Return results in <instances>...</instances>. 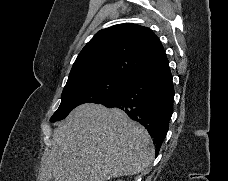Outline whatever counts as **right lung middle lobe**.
I'll return each mask as SVG.
<instances>
[{
	"mask_svg": "<svg viewBox=\"0 0 228 181\" xmlns=\"http://www.w3.org/2000/svg\"><path fill=\"white\" fill-rule=\"evenodd\" d=\"M131 78L109 74L90 75L67 82L62 101L50 121L64 119L72 109L84 103H102L115 97Z\"/></svg>",
	"mask_w": 228,
	"mask_h": 181,
	"instance_id": "dd1d6c3e",
	"label": "right lung middle lobe"
}]
</instances>
